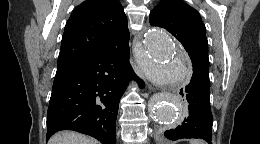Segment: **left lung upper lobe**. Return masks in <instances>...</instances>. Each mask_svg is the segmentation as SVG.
Instances as JSON below:
<instances>
[{"instance_id":"obj_1","label":"left lung upper lobe","mask_w":260,"mask_h":144,"mask_svg":"<svg viewBox=\"0 0 260 144\" xmlns=\"http://www.w3.org/2000/svg\"><path fill=\"white\" fill-rule=\"evenodd\" d=\"M150 24L169 31L190 57L209 62L205 25L200 14L184 1L161 0L150 13Z\"/></svg>"}]
</instances>
